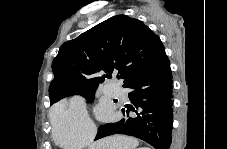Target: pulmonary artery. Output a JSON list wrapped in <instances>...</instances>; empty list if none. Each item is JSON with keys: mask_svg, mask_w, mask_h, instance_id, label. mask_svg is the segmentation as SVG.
I'll use <instances>...</instances> for the list:
<instances>
[{"mask_svg": "<svg viewBox=\"0 0 227 149\" xmlns=\"http://www.w3.org/2000/svg\"><path fill=\"white\" fill-rule=\"evenodd\" d=\"M110 92H111L112 94H114V95L117 94V90L114 89V88H111V89H110Z\"/></svg>", "mask_w": 227, "mask_h": 149, "instance_id": "obj_1", "label": "pulmonary artery"}]
</instances>
